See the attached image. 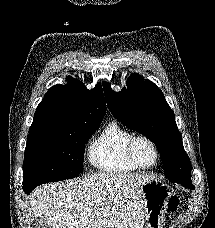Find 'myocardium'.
<instances>
[{"label":"myocardium","instance_id":"myocardium-1","mask_svg":"<svg viewBox=\"0 0 215 228\" xmlns=\"http://www.w3.org/2000/svg\"><path fill=\"white\" fill-rule=\"evenodd\" d=\"M139 142H146L151 147V149L155 154V161L149 167L141 166L136 160L135 148ZM126 158L130 163V165L133 166L135 169L147 171L157 166L160 160V152H159L158 146L151 138L144 135H134L126 145Z\"/></svg>","mask_w":215,"mask_h":228}]
</instances>
